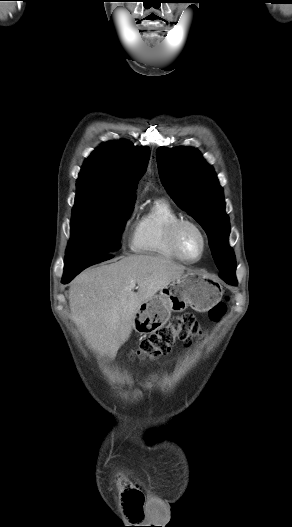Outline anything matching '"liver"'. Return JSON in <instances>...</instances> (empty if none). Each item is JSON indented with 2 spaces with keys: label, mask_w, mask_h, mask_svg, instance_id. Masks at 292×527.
Here are the masks:
<instances>
[{
  "label": "liver",
  "mask_w": 292,
  "mask_h": 527,
  "mask_svg": "<svg viewBox=\"0 0 292 527\" xmlns=\"http://www.w3.org/2000/svg\"><path fill=\"white\" fill-rule=\"evenodd\" d=\"M185 269L152 255H130L88 269L70 284L71 320L93 350L114 359L131 335L139 306L180 278ZM132 281L137 292L130 286Z\"/></svg>",
  "instance_id": "6515ba94"
}]
</instances>
